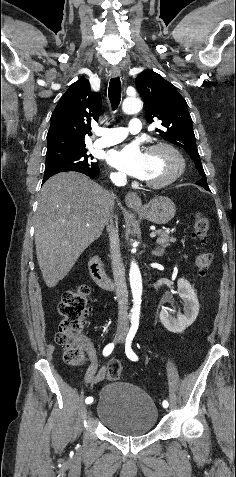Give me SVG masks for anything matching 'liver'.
<instances>
[{
  "mask_svg": "<svg viewBox=\"0 0 236 477\" xmlns=\"http://www.w3.org/2000/svg\"><path fill=\"white\" fill-rule=\"evenodd\" d=\"M113 195L83 174L59 173L39 194L35 217L37 261L52 288L62 280L106 225Z\"/></svg>",
  "mask_w": 236,
  "mask_h": 477,
  "instance_id": "obj_1",
  "label": "liver"
}]
</instances>
